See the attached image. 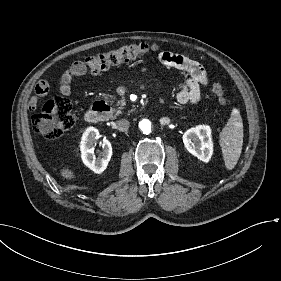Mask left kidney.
I'll use <instances>...</instances> for the list:
<instances>
[{
	"label": "left kidney",
	"mask_w": 281,
	"mask_h": 281,
	"mask_svg": "<svg viewBox=\"0 0 281 281\" xmlns=\"http://www.w3.org/2000/svg\"><path fill=\"white\" fill-rule=\"evenodd\" d=\"M185 148L199 160L207 163L213 154V142L209 125H197L183 134Z\"/></svg>",
	"instance_id": "obj_1"
}]
</instances>
